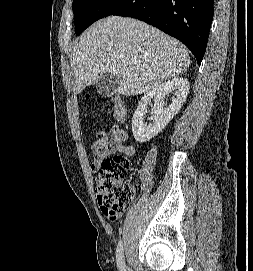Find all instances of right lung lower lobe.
<instances>
[{
	"mask_svg": "<svg viewBox=\"0 0 253 271\" xmlns=\"http://www.w3.org/2000/svg\"><path fill=\"white\" fill-rule=\"evenodd\" d=\"M214 0H127L114 14L153 25L183 42L200 65L207 46Z\"/></svg>",
	"mask_w": 253,
	"mask_h": 271,
	"instance_id": "obj_1",
	"label": "right lung lower lobe"
}]
</instances>
